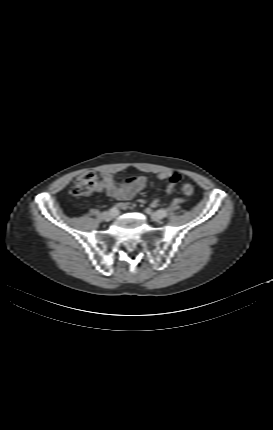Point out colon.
I'll return each instance as SVG.
<instances>
[{
    "instance_id": "colon-1",
    "label": "colon",
    "mask_w": 273,
    "mask_h": 430,
    "mask_svg": "<svg viewBox=\"0 0 273 430\" xmlns=\"http://www.w3.org/2000/svg\"><path fill=\"white\" fill-rule=\"evenodd\" d=\"M99 175L95 172H85L81 174L74 182L71 192L74 196H87L98 189ZM183 193L191 196L194 193V187L191 184L183 186Z\"/></svg>"
}]
</instances>
